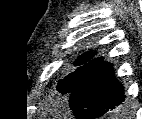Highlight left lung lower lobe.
<instances>
[{
    "label": "left lung lower lobe",
    "instance_id": "left-lung-lower-lobe-1",
    "mask_svg": "<svg viewBox=\"0 0 142 119\" xmlns=\"http://www.w3.org/2000/svg\"><path fill=\"white\" fill-rule=\"evenodd\" d=\"M125 97L111 64L102 60L70 93L69 105L76 119H97L121 105Z\"/></svg>",
    "mask_w": 142,
    "mask_h": 119
}]
</instances>
